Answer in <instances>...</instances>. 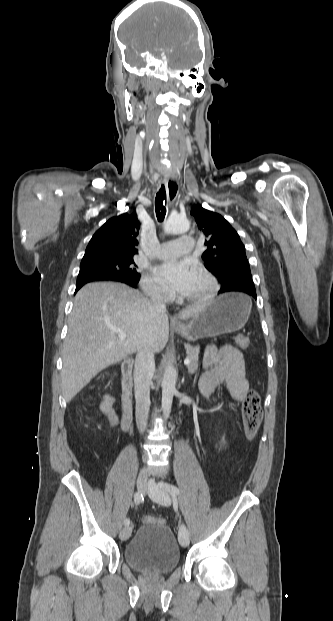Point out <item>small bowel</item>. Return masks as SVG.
<instances>
[{
  "label": "small bowel",
  "instance_id": "c3829d8e",
  "mask_svg": "<svg viewBox=\"0 0 333 621\" xmlns=\"http://www.w3.org/2000/svg\"><path fill=\"white\" fill-rule=\"evenodd\" d=\"M205 372L198 382L199 392L203 397L211 395L216 388L225 383L235 401H242L248 392L245 363L242 354L232 346L223 348L209 347L203 358ZM113 398L104 395L100 404L101 411L110 424L116 426L118 418L113 410Z\"/></svg>",
  "mask_w": 333,
  "mask_h": 621
}]
</instances>
